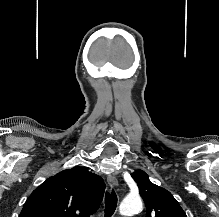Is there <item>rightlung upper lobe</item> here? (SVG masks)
<instances>
[{
	"label": "right lung upper lobe",
	"mask_w": 219,
	"mask_h": 217,
	"mask_svg": "<svg viewBox=\"0 0 219 217\" xmlns=\"http://www.w3.org/2000/svg\"><path fill=\"white\" fill-rule=\"evenodd\" d=\"M104 190L103 179L84 167L63 170L32 192L19 217H89Z\"/></svg>",
	"instance_id": "obj_1"
}]
</instances>
